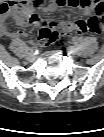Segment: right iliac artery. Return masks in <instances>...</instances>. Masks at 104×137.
Wrapping results in <instances>:
<instances>
[{
    "mask_svg": "<svg viewBox=\"0 0 104 137\" xmlns=\"http://www.w3.org/2000/svg\"><path fill=\"white\" fill-rule=\"evenodd\" d=\"M36 50L35 44L33 42H31V46L28 48V51L34 53Z\"/></svg>",
    "mask_w": 104,
    "mask_h": 137,
    "instance_id": "1",
    "label": "right iliac artery"
}]
</instances>
